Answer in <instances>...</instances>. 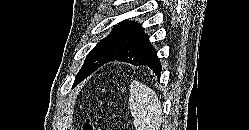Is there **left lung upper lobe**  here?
<instances>
[{"mask_svg":"<svg viewBox=\"0 0 249 130\" xmlns=\"http://www.w3.org/2000/svg\"><path fill=\"white\" fill-rule=\"evenodd\" d=\"M141 32H143V28L136 22L122 21V23L115 26L112 32L98 42L87 55L83 66L76 75L73 86L79 84L100 66L115 57Z\"/></svg>","mask_w":249,"mask_h":130,"instance_id":"obj_1","label":"left lung upper lobe"}]
</instances>
